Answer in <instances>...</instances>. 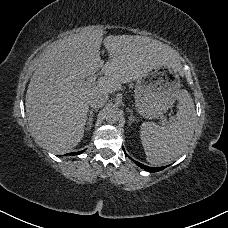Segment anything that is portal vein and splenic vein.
<instances>
[{
  "mask_svg": "<svg viewBox=\"0 0 228 228\" xmlns=\"http://www.w3.org/2000/svg\"><path fill=\"white\" fill-rule=\"evenodd\" d=\"M97 79V75H92V76H89L87 77L86 81L89 82V83H92V82H95ZM174 120L173 117H171V121ZM167 122L163 121L162 124L165 125Z\"/></svg>",
  "mask_w": 228,
  "mask_h": 228,
  "instance_id": "obj_1",
  "label": "portal vein and splenic vein"
}]
</instances>
